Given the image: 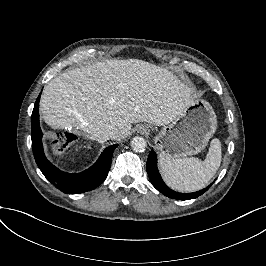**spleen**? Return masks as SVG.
Returning <instances> with one entry per match:
<instances>
[{
	"label": "spleen",
	"mask_w": 266,
	"mask_h": 266,
	"mask_svg": "<svg viewBox=\"0 0 266 266\" xmlns=\"http://www.w3.org/2000/svg\"><path fill=\"white\" fill-rule=\"evenodd\" d=\"M222 160L221 142L212 139L204 161L195 158H171L160 153L159 164L166 184L179 192H195L205 187L216 174Z\"/></svg>",
	"instance_id": "obj_1"
}]
</instances>
